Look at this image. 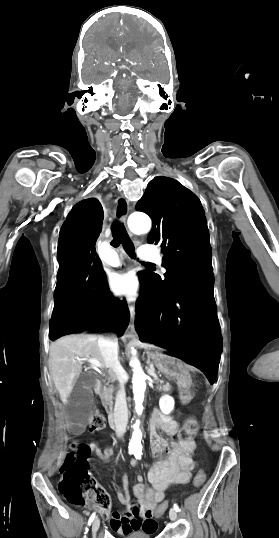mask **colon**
I'll return each mask as SVG.
<instances>
[{"label": "colon", "instance_id": "obj_1", "mask_svg": "<svg viewBox=\"0 0 279 538\" xmlns=\"http://www.w3.org/2000/svg\"><path fill=\"white\" fill-rule=\"evenodd\" d=\"M105 427V420L102 416L96 415L91 423V429L94 431L102 430ZM198 431V422L194 418L186 420L183 427L178 433V439L182 443H189ZM196 451L193 445L190 449V455ZM91 456L90 448L85 445L82 447L73 446V451L68 453L60 467L61 479L59 490L65 498L73 505L85 506L91 502L104 517L110 515V497L108 493L97 484L95 478L88 471V461ZM206 479L203 470H199L194 477V485L200 487ZM169 507L168 502H163L156 510V516L162 515ZM132 515L142 513L139 504H133L130 507Z\"/></svg>", "mask_w": 279, "mask_h": 538}]
</instances>
